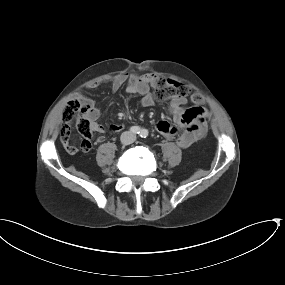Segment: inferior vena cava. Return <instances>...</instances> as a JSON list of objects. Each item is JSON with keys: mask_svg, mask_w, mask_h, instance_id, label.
Instances as JSON below:
<instances>
[{"mask_svg": "<svg viewBox=\"0 0 285 285\" xmlns=\"http://www.w3.org/2000/svg\"><path fill=\"white\" fill-rule=\"evenodd\" d=\"M121 140L124 144H131L136 140V135L126 131L122 134Z\"/></svg>", "mask_w": 285, "mask_h": 285, "instance_id": "1", "label": "inferior vena cava"}]
</instances>
